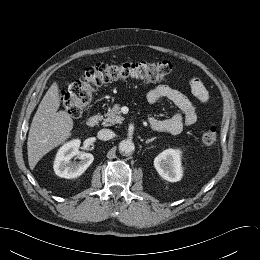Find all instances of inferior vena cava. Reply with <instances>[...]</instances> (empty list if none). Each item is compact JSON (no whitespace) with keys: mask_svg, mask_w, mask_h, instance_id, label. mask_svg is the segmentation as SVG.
Segmentation results:
<instances>
[{"mask_svg":"<svg viewBox=\"0 0 260 260\" xmlns=\"http://www.w3.org/2000/svg\"><path fill=\"white\" fill-rule=\"evenodd\" d=\"M97 137L100 140H110L114 137V132L110 129H101L100 131H98Z\"/></svg>","mask_w":260,"mask_h":260,"instance_id":"602c4592","label":"inferior vena cava"}]
</instances>
